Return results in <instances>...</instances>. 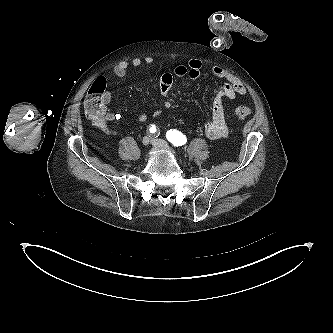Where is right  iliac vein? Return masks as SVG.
<instances>
[{
    "mask_svg": "<svg viewBox=\"0 0 333 333\" xmlns=\"http://www.w3.org/2000/svg\"><path fill=\"white\" fill-rule=\"evenodd\" d=\"M151 142L148 136L143 137L142 143L143 145L147 146Z\"/></svg>",
    "mask_w": 333,
    "mask_h": 333,
    "instance_id": "obj_1",
    "label": "right iliac vein"
}]
</instances>
